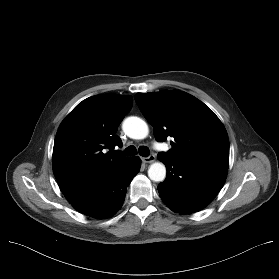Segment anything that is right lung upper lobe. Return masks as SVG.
<instances>
[{
  "instance_id": "right-lung-upper-lobe-1",
  "label": "right lung upper lobe",
  "mask_w": 279,
  "mask_h": 279,
  "mask_svg": "<svg viewBox=\"0 0 279 279\" xmlns=\"http://www.w3.org/2000/svg\"><path fill=\"white\" fill-rule=\"evenodd\" d=\"M132 104L130 95H96L79 103L63 120L52 157L53 173L63 193L104 179L131 160L105 149L122 146L115 133Z\"/></svg>"
}]
</instances>
